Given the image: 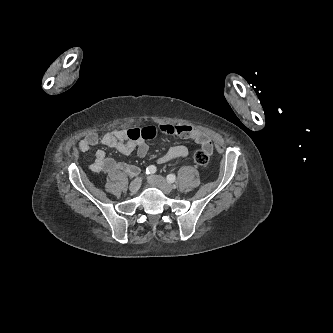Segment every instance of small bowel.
Returning <instances> with one entry per match:
<instances>
[{
	"instance_id": "small-bowel-1",
	"label": "small bowel",
	"mask_w": 333,
	"mask_h": 333,
	"mask_svg": "<svg viewBox=\"0 0 333 333\" xmlns=\"http://www.w3.org/2000/svg\"><path fill=\"white\" fill-rule=\"evenodd\" d=\"M159 133L192 139L200 144L202 150L209 156L213 153L211 137L198 128L185 124H159L144 128L117 129L105 133L101 138L96 133H90L79 142L78 146L80 150L87 151L98 143H101L109 148L116 149L124 155H129L135 151L139 157H145L149 150L146 140L154 138ZM186 155L187 149L184 146H174L159 157L158 162L166 163L176 158H183ZM93 168L95 171L104 170L109 173L116 169L131 171L129 166L118 164L114 160L108 159L103 150L96 152L93 160Z\"/></svg>"
}]
</instances>
